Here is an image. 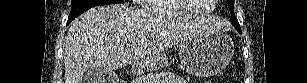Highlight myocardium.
<instances>
[{
	"label": "myocardium",
	"mask_w": 307,
	"mask_h": 83,
	"mask_svg": "<svg viewBox=\"0 0 307 83\" xmlns=\"http://www.w3.org/2000/svg\"><path fill=\"white\" fill-rule=\"evenodd\" d=\"M179 2L184 7H186L187 9L195 13L206 14V13H210L213 9V5L209 9H206V10L200 9L192 2V0H179Z\"/></svg>",
	"instance_id": "myocardium-1"
}]
</instances>
